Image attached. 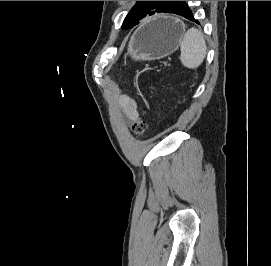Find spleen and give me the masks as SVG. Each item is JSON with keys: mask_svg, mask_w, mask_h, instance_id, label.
Masks as SVG:
<instances>
[{"mask_svg": "<svg viewBox=\"0 0 271 266\" xmlns=\"http://www.w3.org/2000/svg\"><path fill=\"white\" fill-rule=\"evenodd\" d=\"M180 50V60L185 67L189 69L199 67L207 53V45L202 32L196 28L187 30L181 41Z\"/></svg>", "mask_w": 271, "mask_h": 266, "instance_id": "3e777b00", "label": "spleen"}]
</instances>
